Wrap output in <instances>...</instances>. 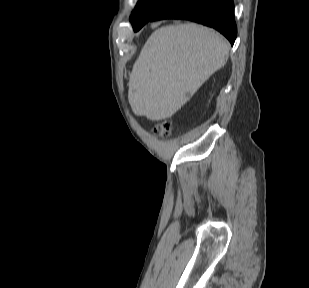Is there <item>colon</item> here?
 I'll list each match as a JSON object with an SVG mask.
<instances>
[{"label":"colon","mask_w":309,"mask_h":288,"mask_svg":"<svg viewBox=\"0 0 309 288\" xmlns=\"http://www.w3.org/2000/svg\"><path fill=\"white\" fill-rule=\"evenodd\" d=\"M152 131L158 137L166 139L171 135V123L168 120H163L157 123Z\"/></svg>","instance_id":"colon-1"}]
</instances>
